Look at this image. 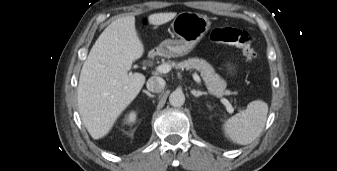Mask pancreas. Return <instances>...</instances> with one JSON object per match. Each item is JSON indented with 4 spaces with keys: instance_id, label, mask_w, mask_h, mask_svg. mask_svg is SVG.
Segmentation results:
<instances>
[{
    "instance_id": "1",
    "label": "pancreas",
    "mask_w": 337,
    "mask_h": 171,
    "mask_svg": "<svg viewBox=\"0 0 337 171\" xmlns=\"http://www.w3.org/2000/svg\"><path fill=\"white\" fill-rule=\"evenodd\" d=\"M172 65L179 69L186 68L187 70L196 69L199 71L210 94L216 97L229 94V91L226 90L225 80L215 73L213 67L206 60L189 58L179 63L173 62Z\"/></svg>"
}]
</instances>
